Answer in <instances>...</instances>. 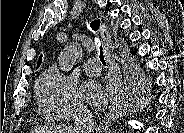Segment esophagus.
Returning a JSON list of instances; mask_svg holds the SVG:
<instances>
[{"mask_svg": "<svg viewBox=\"0 0 184 133\" xmlns=\"http://www.w3.org/2000/svg\"><path fill=\"white\" fill-rule=\"evenodd\" d=\"M100 34H101L102 45L104 47V51H105V53H107L109 45H110V40H109L108 32L104 26L101 27Z\"/></svg>", "mask_w": 184, "mask_h": 133, "instance_id": "esophagus-1", "label": "esophagus"}]
</instances>
